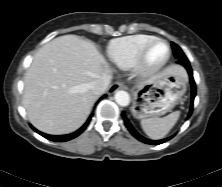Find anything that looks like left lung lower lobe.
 Listing matches in <instances>:
<instances>
[{
  "label": "left lung lower lobe",
  "instance_id": "1",
  "mask_svg": "<svg viewBox=\"0 0 222 187\" xmlns=\"http://www.w3.org/2000/svg\"><path fill=\"white\" fill-rule=\"evenodd\" d=\"M178 64H181L183 65L186 70L188 71V74H189V77H190V83H191V88H192V93H191V106H190V111L188 113V116H187V119L191 116L192 114V111H193V102H194V98L196 96V86H195V81H194V78H193V72H192V69H191V66H190V63L188 61V59L186 60H178L177 61ZM122 117H123V120H124V123L126 125V127L128 128V130L130 131V133L135 137L137 138L139 141L143 142V143H146V144H151V145H159V144H162L168 140H170L173 136L169 137V138H165V139H161V140H150V139H147L143 136H141L134 128L133 126L131 125V123L129 122L128 118L126 117L125 113L123 112L122 114Z\"/></svg>",
  "mask_w": 222,
  "mask_h": 187
}]
</instances>
